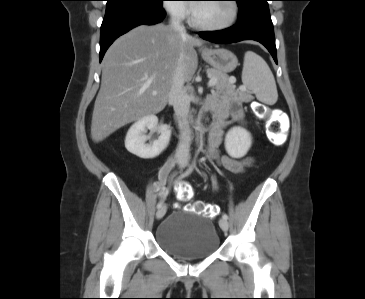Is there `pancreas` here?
I'll use <instances>...</instances> for the list:
<instances>
[{
    "instance_id": "cf45deb5",
    "label": "pancreas",
    "mask_w": 365,
    "mask_h": 299,
    "mask_svg": "<svg viewBox=\"0 0 365 299\" xmlns=\"http://www.w3.org/2000/svg\"><path fill=\"white\" fill-rule=\"evenodd\" d=\"M207 74L211 78L217 79V83L214 87L218 92L226 93L234 101L246 102L250 100L251 96L248 93L235 90L227 74L215 69H207Z\"/></svg>"
}]
</instances>
